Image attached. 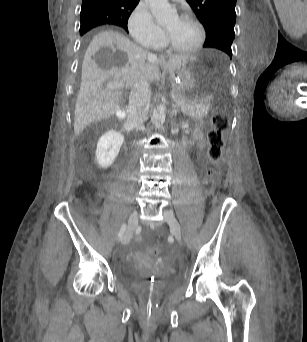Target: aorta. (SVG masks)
I'll return each mask as SVG.
<instances>
[{
	"label": "aorta",
	"mask_w": 307,
	"mask_h": 342,
	"mask_svg": "<svg viewBox=\"0 0 307 342\" xmlns=\"http://www.w3.org/2000/svg\"><path fill=\"white\" fill-rule=\"evenodd\" d=\"M152 16L160 26H169L172 22H177L178 14L175 8L170 6L168 0H147ZM166 118V106L158 104L152 114V122L156 128H162Z\"/></svg>",
	"instance_id": "aorta-1"
}]
</instances>
